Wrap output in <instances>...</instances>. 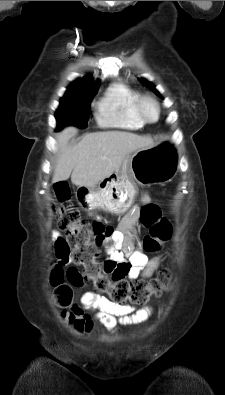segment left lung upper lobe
I'll return each instance as SVG.
<instances>
[{
  "instance_id": "1",
  "label": "left lung upper lobe",
  "mask_w": 225,
  "mask_h": 395,
  "mask_svg": "<svg viewBox=\"0 0 225 395\" xmlns=\"http://www.w3.org/2000/svg\"><path fill=\"white\" fill-rule=\"evenodd\" d=\"M139 81H140L142 84H144L145 86H147L148 88L152 89L153 92H154L155 94L159 95V93L157 92V90L154 89V85H153V84H151L150 82H148V81L145 80V79H139Z\"/></svg>"
}]
</instances>
